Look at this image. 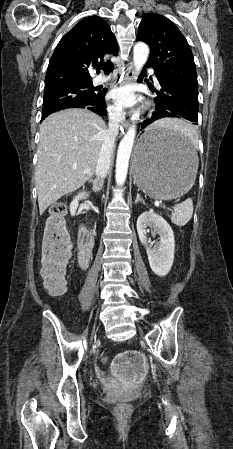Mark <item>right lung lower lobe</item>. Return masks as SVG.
<instances>
[{
  "instance_id": "obj_1",
  "label": "right lung lower lobe",
  "mask_w": 233,
  "mask_h": 449,
  "mask_svg": "<svg viewBox=\"0 0 233 449\" xmlns=\"http://www.w3.org/2000/svg\"><path fill=\"white\" fill-rule=\"evenodd\" d=\"M105 93L106 92H99V97L91 103H73V104L64 106L62 108L56 109L54 111L42 113L41 121H43L51 113H53L55 111L62 110V109H67V108H87L99 115L106 114L107 113L106 109H105L106 104H105V100H104Z\"/></svg>"
}]
</instances>
